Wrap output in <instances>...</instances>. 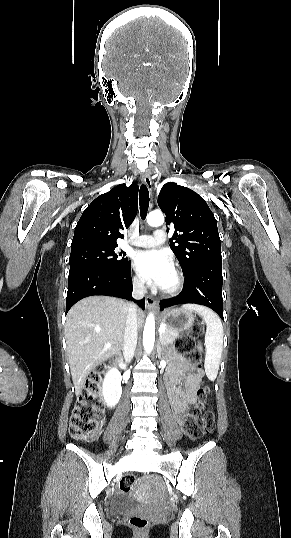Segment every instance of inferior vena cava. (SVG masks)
Wrapping results in <instances>:
<instances>
[{
  "label": "inferior vena cava",
  "mask_w": 291,
  "mask_h": 538,
  "mask_svg": "<svg viewBox=\"0 0 291 538\" xmlns=\"http://www.w3.org/2000/svg\"><path fill=\"white\" fill-rule=\"evenodd\" d=\"M146 293L144 281L134 280L133 282V297L136 299L142 298ZM137 306L134 303L128 304V314L126 320L123 355L127 362H130L134 357V351L137 345Z\"/></svg>",
  "instance_id": "1"
}]
</instances>
